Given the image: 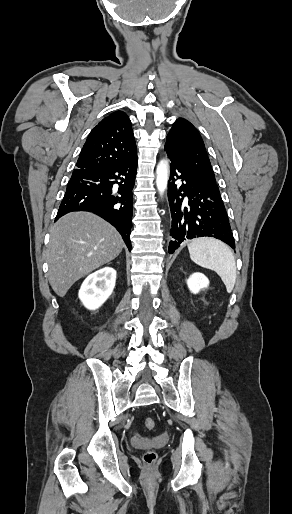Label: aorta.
Returning <instances> with one entry per match:
<instances>
[{"label":"aorta","instance_id":"aorta-1","mask_svg":"<svg viewBox=\"0 0 292 514\" xmlns=\"http://www.w3.org/2000/svg\"><path fill=\"white\" fill-rule=\"evenodd\" d=\"M156 174V186L158 188V192H160L162 196L163 192H165L167 188L168 182V164L165 162V160H162L159 166H157Z\"/></svg>","mask_w":292,"mask_h":514}]
</instances>
